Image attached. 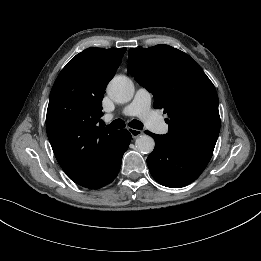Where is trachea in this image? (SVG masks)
Masks as SVG:
<instances>
[{
	"label": "trachea",
	"instance_id": "1",
	"mask_svg": "<svg viewBox=\"0 0 261 261\" xmlns=\"http://www.w3.org/2000/svg\"><path fill=\"white\" fill-rule=\"evenodd\" d=\"M129 126L134 129H142L143 124L138 120H132ZM109 129H121L125 127V122L121 119L114 120L110 125L107 126Z\"/></svg>",
	"mask_w": 261,
	"mask_h": 261
}]
</instances>
